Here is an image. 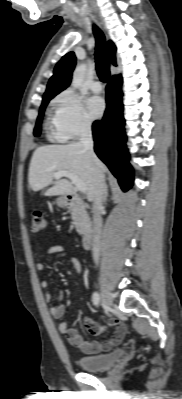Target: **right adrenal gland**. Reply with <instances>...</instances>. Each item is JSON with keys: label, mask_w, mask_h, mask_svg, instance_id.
I'll list each match as a JSON object with an SVG mask.
<instances>
[{"label": "right adrenal gland", "mask_w": 182, "mask_h": 399, "mask_svg": "<svg viewBox=\"0 0 182 399\" xmlns=\"http://www.w3.org/2000/svg\"><path fill=\"white\" fill-rule=\"evenodd\" d=\"M108 197V186H105V194H104V200L106 201Z\"/></svg>", "instance_id": "1"}]
</instances>
